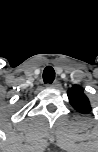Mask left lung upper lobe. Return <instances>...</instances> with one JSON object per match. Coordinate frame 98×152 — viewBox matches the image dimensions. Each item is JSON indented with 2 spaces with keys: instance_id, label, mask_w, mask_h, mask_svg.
<instances>
[{
  "instance_id": "left-lung-upper-lobe-1",
  "label": "left lung upper lobe",
  "mask_w": 98,
  "mask_h": 152,
  "mask_svg": "<svg viewBox=\"0 0 98 152\" xmlns=\"http://www.w3.org/2000/svg\"><path fill=\"white\" fill-rule=\"evenodd\" d=\"M68 98L72 107L80 113H89L91 105L88 97L84 94L83 88L79 85H73L67 91Z\"/></svg>"
}]
</instances>
